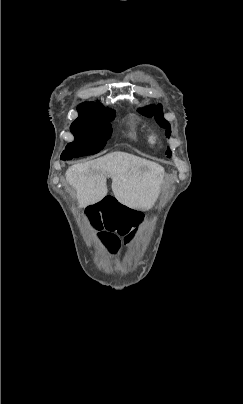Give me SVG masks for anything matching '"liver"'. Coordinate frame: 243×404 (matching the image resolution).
Returning <instances> with one entry per match:
<instances>
[{
  "instance_id": "liver-1",
  "label": "liver",
  "mask_w": 243,
  "mask_h": 404,
  "mask_svg": "<svg viewBox=\"0 0 243 404\" xmlns=\"http://www.w3.org/2000/svg\"><path fill=\"white\" fill-rule=\"evenodd\" d=\"M162 174V166L155 162L125 152H112L70 166L65 178L77 192L79 208L96 204L107 196L106 176H110L112 192L120 204L134 210H150L158 200Z\"/></svg>"
}]
</instances>
